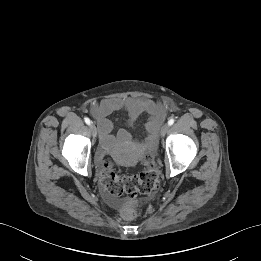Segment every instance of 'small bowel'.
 I'll return each mask as SVG.
<instances>
[{"mask_svg": "<svg viewBox=\"0 0 261 261\" xmlns=\"http://www.w3.org/2000/svg\"><path fill=\"white\" fill-rule=\"evenodd\" d=\"M88 110L91 116L96 120L106 145H108L113 138L111 136L113 123L109 119L111 114L124 111L127 116V123L134 125L143 113H147L149 119L146 123V130L151 139L156 136L168 114V108L164 105L146 98L134 97H114L101 102H93L90 104ZM121 135L126 136L125 133H121Z\"/></svg>", "mask_w": 261, "mask_h": 261, "instance_id": "small-bowel-1", "label": "small bowel"}]
</instances>
